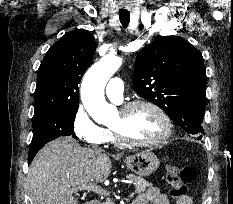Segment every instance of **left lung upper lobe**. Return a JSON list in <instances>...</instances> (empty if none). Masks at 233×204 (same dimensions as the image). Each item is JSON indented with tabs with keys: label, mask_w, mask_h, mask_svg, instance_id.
Wrapping results in <instances>:
<instances>
[{
	"label": "left lung upper lobe",
	"mask_w": 233,
	"mask_h": 204,
	"mask_svg": "<svg viewBox=\"0 0 233 204\" xmlns=\"http://www.w3.org/2000/svg\"><path fill=\"white\" fill-rule=\"evenodd\" d=\"M206 72L199 50L175 36H158L137 55L133 87L198 140L206 106Z\"/></svg>",
	"instance_id": "5c2ea615"
}]
</instances>
